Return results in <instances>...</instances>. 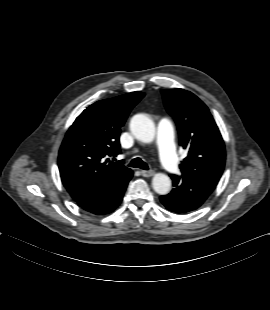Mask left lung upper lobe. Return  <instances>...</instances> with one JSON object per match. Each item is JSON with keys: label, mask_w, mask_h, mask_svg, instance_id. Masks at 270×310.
<instances>
[{"label": "left lung upper lobe", "mask_w": 270, "mask_h": 310, "mask_svg": "<svg viewBox=\"0 0 270 310\" xmlns=\"http://www.w3.org/2000/svg\"><path fill=\"white\" fill-rule=\"evenodd\" d=\"M162 94L177 123L179 143L188 150L180 164L182 177L217 185L225 165V146L207 106L183 89H164Z\"/></svg>", "instance_id": "left-lung-upper-lobe-1"}]
</instances>
